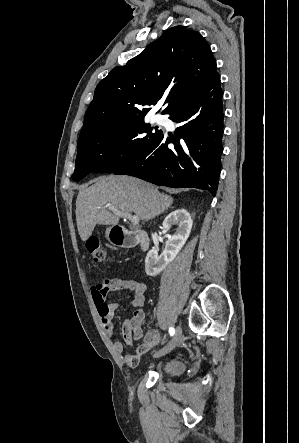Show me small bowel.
Listing matches in <instances>:
<instances>
[{
  "label": "small bowel",
  "mask_w": 299,
  "mask_h": 443,
  "mask_svg": "<svg viewBox=\"0 0 299 443\" xmlns=\"http://www.w3.org/2000/svg\"><path fill=\"white\" fill-rule=\"evenodd\" d=\"M145 289L143 282L137 279L123 278H106L93 283L90 287L92 301L97 308L102 326L107 335L112 339L115 338L113 318L115 311L121 306V303H107L106 295L112 291L124 290L132 292L129 304L137 308V310L125 319L122 325V336L124 342L130 346L134 340H142V343L134 349V352L124 355V361L130 367L136 366L140 357L156 346L160 339L159 332L156 329H151L146 333H143L141 329V323L144 320L142 307L145 300ZM113 349L116 353L122 354L124 350L123 342L114 340Z\"/></svg>",
  "instance_id": "1"
}]
</instances>
